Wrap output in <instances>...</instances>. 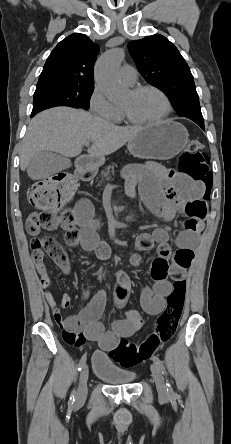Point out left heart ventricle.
I'll return each instance as SVG.
<instances>
[{"label":"left heart ventricle","mask_w":231,"mask_h":444,"mask_svg":"<svg viewBox=\"0 0 231 444\" xmlns=\"http://www.w3.org/2000/svg\"><path fill=\"white\" fill-rule=\"evenodd\" d=\"M121 107L139 121L156 119L166 109L164 100L154 91H144L137 95L129 92L121 103Z\"/></svg>","instance_id":"b2bd125f"}]
</instances>
